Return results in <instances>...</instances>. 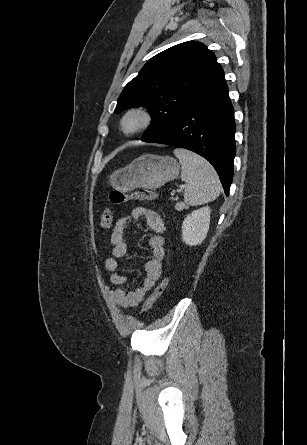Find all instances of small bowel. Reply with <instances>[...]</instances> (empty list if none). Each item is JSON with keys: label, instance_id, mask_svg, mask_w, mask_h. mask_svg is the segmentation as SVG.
Wrapping results in <instances>:
<instances>
[{"label": "small bowel", "instance_id": "c3829d8e", "mask_svg": "<svg viewBox=\"0 0 307 445\" xmlns=\"http://www.w3.org/2000/svg\"><path fill=\"white\" fill-rule=\"evenodd\" d=\"M132 221H145L148 228L154 232L148 240L152 257L145 264L146 277L141 286L137 288H130L127 285V278L120 271L119 265L120 259L128 251L125 232ZM164 230L165 225L160 214L144 207L133 209L129 214L122 216L116 222L110 236L112 256L104 262L105 269L110 272L111 284L115 286H107L106 293L115 305L125 308L138 305L161 277L162 262L165 257Z\"/></svg>", "mask_w": 307, "mask_h": 445}]
</instances>
